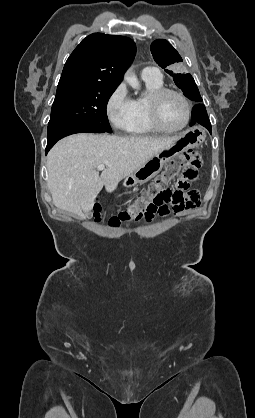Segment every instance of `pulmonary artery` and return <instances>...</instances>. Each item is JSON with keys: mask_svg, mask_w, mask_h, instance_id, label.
<instances>
[{"mask_svg": "<svg viewBox=\"0 0 255 418\" xmlns=\"http://www.w3.org/2000/svg\"><path fill=\"white\" fill-rule=\"evenodd\" d=\"M141 77L143 80H161L162 75L158 68L156 67H145L141 72Z\"/></svg>", "mask_w": 255, "mask_h": 418, "instance_id": "e3ab8cb5", "label": "pulmonary artery"}]
</instances>
